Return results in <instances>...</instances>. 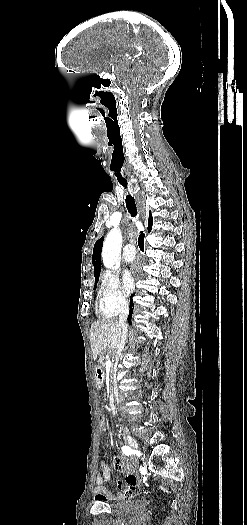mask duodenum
Listing matches in <instances>:
<instances>
[{
  "label": "duodenum",
  "mask_w": 247,
  "mask_h": 525,
  "mask_svg": "<svg viewBox=\"0 0 247 525\" xmlns=\"http://www.w3.org/2000/svg\"><path fill=\"white\" fill-rule=\"evenodd\" d=\"M95 375L99 380H103L104 373L101 367L95 368ZM109 410L112 414H114L116 411L115 400L112 395L109 398Z\"/></svg>",
  "instance_id": "duodenum-1"
}]
</instances>
